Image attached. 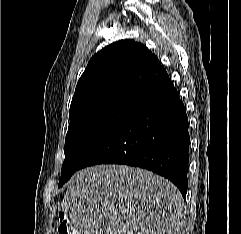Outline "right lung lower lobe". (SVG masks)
Here are the masks:
<instances>
[{
	"mask_svg": "<svg viewBox=\"0 0 241 234\" xmlns=\"http://www.w3.org/2000/svg\"><path fill=\"white\" fill-rule=\"evenodd\" d=\"M189 144L186 109L168 79L89 151L80 169L102 163L145 168L172 181L185 198Z\"/></svg>",
	"mask_w": 241,
	"mask_h": 234,
	"instance_id": "1",
	"label": "right lung lower lobe"
}]
</instances>
